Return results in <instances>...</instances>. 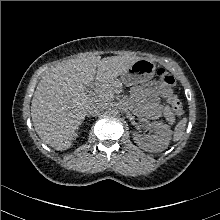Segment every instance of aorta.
<instances>
[{"label": "aorta", "mask_w": 220, "mask_h": 220, "mask_svg": "<svg viewBox=\"0 0 220 220\" xmlns=\"http://www.w3.org/2000/svg\"><path fill=\"white\" fill-rule=\"evenodd\" d=\"M111 113H112V114H117V113H118V109L115 108V107L112 108V109H111Z\"/></svg>", "instance_id": "1"}]
</instances>
